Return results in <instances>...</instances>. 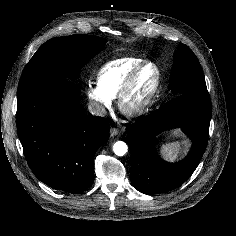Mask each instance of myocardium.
Here are the masks:
<instances>
[{
    "label": "myocardium",
    "instance_id": "1",
    "mask_svg": "<svg viewBox=\"0 0 236 236\" xmlns=\"http://www.w3.org/2000/svg\"><path fill=\"white\" fill-rule=\"evenodd\" d=\"M147 66L154 67L157 72V78H156V82L154 84V87L151 90V92L149 93V95L147 96V98L144 100V102H142L136 108L127 109L125 103H126V100L129 96V94L131 93V91L133 89L136 78L139 75V73ZM161 85H162L161 68L155 62H152V61L142 62L141 64H139L137 67H135L130 72V74L127 76L125 82L123 83V85L118 93L117 105H118L120 112L129 118H138V117L145 115L146 113L149 112V110L154 105V103L158 97V94L160 92Z\"/></svg>",
    "mask_w": 236,
    "mask_h": 236
}]
</instances>
